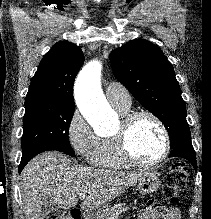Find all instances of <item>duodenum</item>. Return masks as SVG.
Listing matches in <instances>:
<instances>
[{
	"instance_id": "duodenum-1",
	"label": "duodenum",
	"mask_w": 211,
	"mask_h": 219,
	"mask_svg": "<svg viewBox=\"0 0 211 219\" xmlns=\"http://www.w3.org/2000/svg\"><path fill=\"white\" fill-rule=\"evenodd\" d=\"M97 212L94 209H87L83 213L84 219H95Z\"/></svg>"
}]
</instances>
